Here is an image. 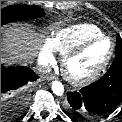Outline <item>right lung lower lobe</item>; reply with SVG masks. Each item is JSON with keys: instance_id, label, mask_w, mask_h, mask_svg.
<instances>
[{"instance_id": "98d812e1", "label": "right lung lower lobe", "mask_w": 122, "mask_h": 122, "mask_svg": "<svg viewBox=\"0 0 122 122\" xmlns=\"http://www.w3.org/2000/svg\"><path fill=\"white\" fill-rule=\"evenodd\" d=\"M38 76L29 67L18 66L6 68L1 66V120L3 122L14 119L25 107L26 92L25 86L28 82L37 80ZM7 95H12L13 106L10 113L5 111L3 99Z\"/></svg>"}]
</instances>
